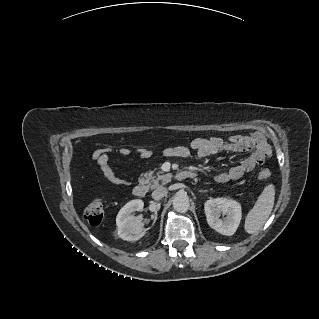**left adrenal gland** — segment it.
<instances>
[{
  "mask_svg": "<svg viewBox=\"0 0 319 319\" xmlns=\"http://www.w3.org/2000/svg\"><path fill=\"white\" fill-rule=\"evenodd\" d=\"M200 192H206L205 190H200Z\"/></svg>",
  "mask_w": 319,
  "mask_h": 319,
  "instance_id": "1",
  "label": "left adrenal gland"
}]
</instances>
